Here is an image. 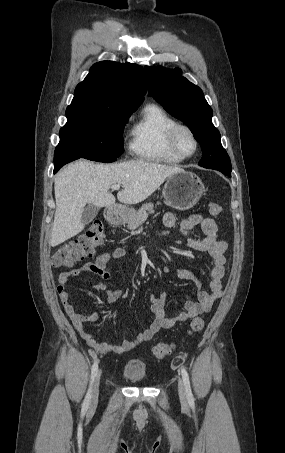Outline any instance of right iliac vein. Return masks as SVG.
I'll use <instances>...</instances> for the list:
<instances>
[{
    "label": "right iliac vein",
    "mask_w": 285,
    "mask_h": 453,
    "mask_svg": "<svg viewBox=\"0 0 285 453\" xmlns=\"http://www.w3.org/2000/svg\"><path fill=\"white\" fill-rule=\"evenodd\" d=\"M100 378H101V371L98 372L95 383H94L92 396H91V403H90L91 408H94L98 402Z\"/></svg>",
    "instance_id": "obj_1"
}]
</instances>
